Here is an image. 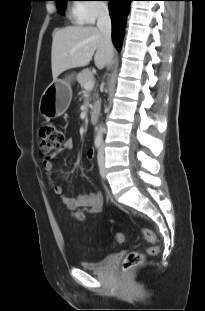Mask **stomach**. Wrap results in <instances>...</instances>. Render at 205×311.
Wrapping results in <instances>:
<instances>
[{
	"mask_svg": "<svg viewBox=\"0 0 205 311\" xmlns=\"http://www.w3.org/2000/svg\"><path fill=\"white\" fill-rule=\"evenodd\" d=\"M71 80L72 77L55 80L48 85L39 102V112L43 117L56 118L67 110L72 98Z\"/></svg>",
	"mask_w": 205,
	"mask_h": 311,
	"instance_id": "stomach-1",
	"label": "stomach"
}]
</instances>
